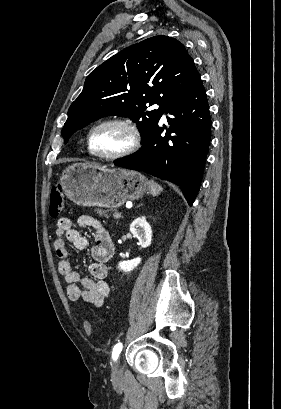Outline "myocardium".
I'll return each instance as SVG.
<instances>
[{
  "instance_id": "1",
  "label": "myocardium",
  "mask_w": 281,
  "mask_h": 409,
  "mask_svg": "<svg viewBox=\"0 0 281 409\" xmlns=\"http://www.w3.org/2000/svg\"><path fill=\"white\" fill-rule=\"evenodd\" d=\"M111 126L119 127L125 130L128 133L129 142L124 148H122L118 152H115L113 154H100L94 148L95 135L97 134L99 130L106 128V127H111ZM141 142H142L141 131L134 123L124 118L113 117V118H107V119H104L98 122L92 128L89 134V138H88V147H89L90 152L94 156L100 159H104V160L115 161V160H119V159L125 158L133 154L140 147Z\"/></svg>"
}]
</instances>
